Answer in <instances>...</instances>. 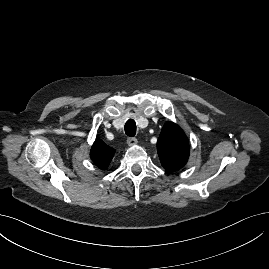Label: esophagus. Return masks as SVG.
<instances>
[{
  "instance_id": "esophagus-1",
  "label": "esophagus",
  "mask_w": 269,
  "mask_h": 269,
  "mask_svg": "<svg viewBox=\"0 0 269 269\" xmlns=\"http://www.w3.org/2000/svg\"><path fill=\"white\" fill-rule=\"evenodd\" d=\"M137 139L136 138H128L127 139V144L129 145V146H134V145H136L137 144Z\"/></svg>"
}]
</instances>
